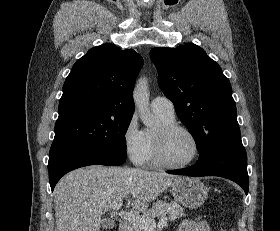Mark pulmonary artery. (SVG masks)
Wrapping results in <instances>:
<instances>
[{
    "label": "pulmonary artery",
    "mask_w": 280,
    "mask_h": 231,
    "mask_svg": "<svg viewBox=\"0 0 280 231\" xmlns=\"http://www.w3.org/2000/svg\"><path fill=\"white\" fill-rule=\"evenodd\" d=\"M151 108L152 110L160 115L174 118L175 117V107L173 102L163 96H158L154 98L151 102Z\"/></svg>",
    "instance_id": "e3ab8cb5"
}]
</instances>
